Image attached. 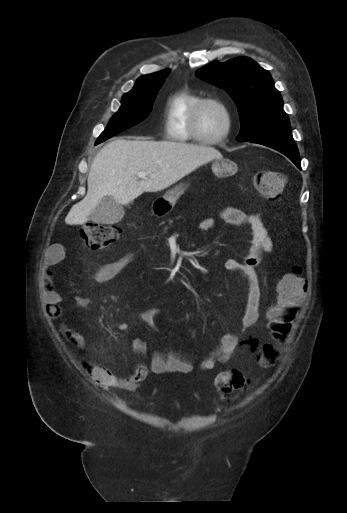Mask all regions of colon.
I'll return each mask as SVG.
<instances>
[{"label": "colon", "instance_id": "obj_1", "mask_svg": "<svg viewBox=\"0 0 347 513\" xmlns=\"http://www.w3.org/2000/svg\"><path fill=\"white\" fill-rule=\"evenodd\" d=\"M253 183L266 199L276 200L281 196L285 178L280 171H254ZM81 238L90 249H104L114 245L121 236V229L97 223H88L80 230ZM307 291V279L302 268L296 266L278 282L276 300L269 310L268 329L273 340H262L257 347L259 368L271 373L276 368L279 346L276 341L284 340L295 319L298 307ZM250 385L248 377L237 370L222 372L215 379V386L221 396L246 389Z\"/></svg>", "mask_w": 347, "mask_h": 513}]
</instances>
